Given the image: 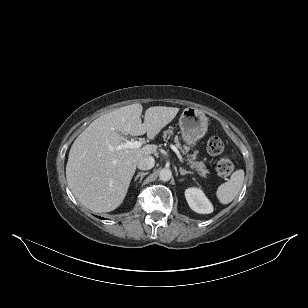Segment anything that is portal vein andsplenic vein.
<instances>
[{
    "label": "portal vein and splenic vein",
    "instance_id": "obj_1",
    "mask_svg": "<svg viewBox=\"0 0 308 308\" xmlns=\"http://www.w3.org/2000/svg\"><path fill=\"white\" fill-rule=\"evenodd\" d=\"M142 142L141 141H128L126 140L125 142H122L117 149H136V148H140L142 146ZM171 149L176 153L177 157L179 158V160L182 163H185L184 158L182 157L181 153L179 152V150L174 146V145H170Z\"/></svg>",
    "mask_w": 308,
    "mask_h": 308
}]
</instances>
